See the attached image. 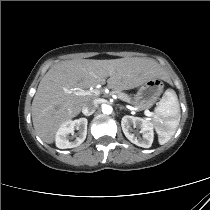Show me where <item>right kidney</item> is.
<instances>
[{"instance_id":"1","label":"right kidney","mask_w":210,"mask_h":210,"mask_svg":"<svg viewBox=\"0 0 210 210\" xmlns=\"http://www.w3.org/2000/svg\"><path fill=\"white\" fill-rule=\"evenodd\" d=\"M87 124L88 121L86 118H80L74 121L68 120L63 123L56 132V146L60 149L74 148L79 146L86 138ZM75 130L78 132L74 135ZM70 134L72 136H70Z\"/></svg>"}]
</instances>
